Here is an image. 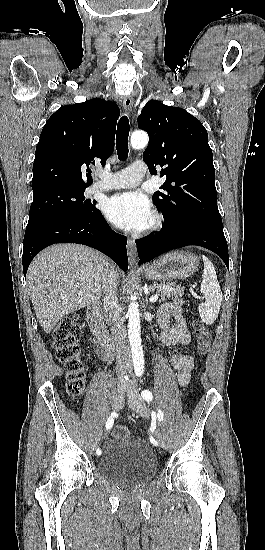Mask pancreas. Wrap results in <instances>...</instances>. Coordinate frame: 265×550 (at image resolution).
<instances>
[{"instance_id": "cf45deb5", "label": "pancreas", "mask_w": 265, "mask_h": 550, "mask_svg": "<svg viewBox=\"0 0 265 550\" xmlns=\"http://www.w3.org/2000/svg\"><path fill=\"white\" fill-rule=\"evenodd\" d=\"M150 289L160 297V301H164L167 298L182 296L184 291L182 287L172 283H154L150 286Z\"/></svg>"}]
</instances>
